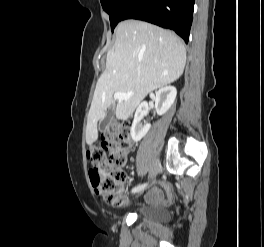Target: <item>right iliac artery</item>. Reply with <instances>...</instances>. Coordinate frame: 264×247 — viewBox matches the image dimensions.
Instances as JSON below:
<instances>
[{
	"label": "right iliac artery",
	"mask_w": 264,
	"mask_h": 247,
	"mask_svg": "<svg viewBox=\"0 0 264 247\" xmlns=\"http://www.w3.org/2000/svg\"><path fill=\"white\" fill-rule=\"evenodd\" d=\"M147 186V183H144L142 185L136 186L132 189L133 193L139 192L141 190H143L145 187Z\"/></svg>",
	"instance_id": "1"
}]
</instances>
